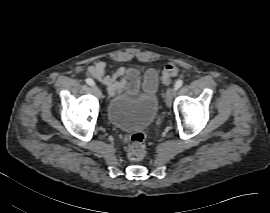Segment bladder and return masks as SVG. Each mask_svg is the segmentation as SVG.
<instances>
[{
    "instance_id": "31cf9c89",
    "label": "bladder",
    "mask_w": 270,
    "mask_h": 213,
    "mask_svg": "<svg viewBox=\"0 0 270 213\" xmlns=\"http://www.w3.org/2000/svg\"><path fill=\"white\" fill-rule=\"evenodd\" d=\"M158 107L155 92L132 97L126 91H122L107 102L105 114L112 126L135 133L149 129L155 123Z\"/></svg>"
}]
</instances>
